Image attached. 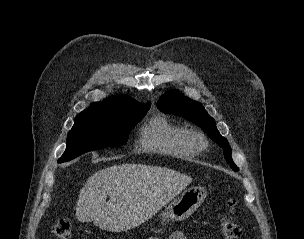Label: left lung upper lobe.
I'll list each match as a JSON object with an SVG mask.
<instances>
[{
	"label": "left lung upper lobe",
	"instance_id": "5c2ea615",
	"mask_svg": "<svg viewBox=\"0 0 304 239\" xmlns=\"http://www.w3.org/2000/svg\"><path fill=\"white\" fill-rule=\"evenodd\" d=\"M157 106L165 113L185 117L200 126L213 141L223 148L225 159L231 168L234 171H238V167L231 158V148L228 141L220 135L214 119L208 115L201 103L180 95L175 90H171L161 96Z\"/></svg>",
	"mask_w": 304,
	"mask_h": 239
}]
</instances>
